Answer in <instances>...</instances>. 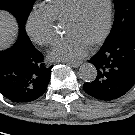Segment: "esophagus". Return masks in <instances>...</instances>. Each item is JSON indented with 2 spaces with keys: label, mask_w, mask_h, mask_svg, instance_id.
I'll use <instances>...</instances> for the list:
<instances>
[{
  "label": "esophagus",
  "mask_w": 135,
  "mask_h": 135,
  "mask_svg": "<svg viewBox=\"0 0 135 135\" xmlns=\"http://www.w3.org/2000/svg\"><path fill=\"white\" fill-rule=\"evenodd\" d=\"M67 64L71 67L77 68L80 66L81 62H68Z\"/></svg>",
  "instance_id": "1"
}]
</instances>
